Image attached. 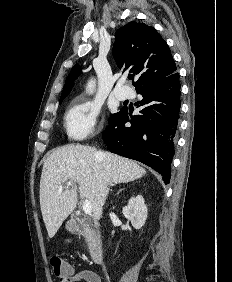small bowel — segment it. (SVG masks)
I'll return each mask as SVG.
<instances>
[{"label": "small bowel", "mask_w": 232, "mask_h": 282, "mask_svg": "<svg viewBox=\"0 0 232 282\" xmlns=\"http://www.w3.org/2000/svg\"><path fill=\"white\" fill-rule=\"evenodd\" d=\"M68 282H101L98 274L90 270L75 271L70 268Z\"/></svg>", "instance_id": "obj_1"}]
</instances>
